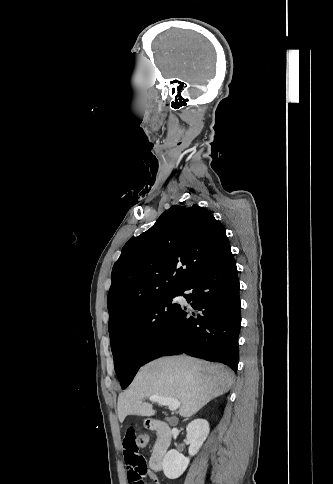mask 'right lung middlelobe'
Returning a JSON list of instances; mask_svg holds the SVG:
<instances>
[{
	"label": "right lung middle lobe",
	"instance_id": "1",
	"mask_svg": "<svg viewBox=\"0 0 333 484\" xmlns=\"http://www.w3.org/2000/svg\"><path fill=\"white\" fill-rule=\"evenodd\" d=\"M172 292L141 304L108 326L114 367L121 387L133 380L155 339L170 323L179 304Z\"/></svg>",
	"mask_w": 333,
	"mask_h": 484
}]
</instances>
